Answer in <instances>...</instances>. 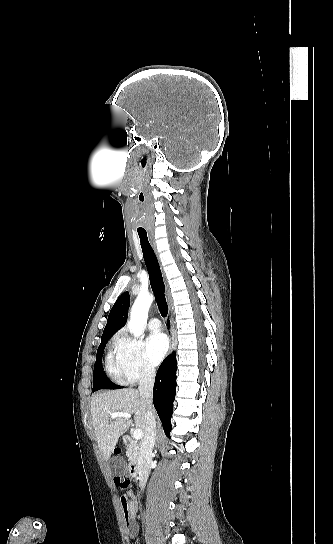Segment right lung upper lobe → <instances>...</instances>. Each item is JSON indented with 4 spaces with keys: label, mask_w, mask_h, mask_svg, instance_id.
<instances>
[{
    "label": "right lung upper lobe",
    "mask_w": 333,
    "mask_h": 544,
    "mask_svg": "<svg viewBox=\"0 0 333 544\" xmlns=\"http://www.w3.org/2000/svg\"><path fill=\"white\" fill-rule=\"evenodd\" d=\"M129 305V293L125 292L117 299L112 307L101 340L110 338L117 330L126 324Z\"/></svg>",
    "instance_id": "cb5924a9"
}]
</instances>
